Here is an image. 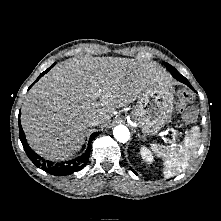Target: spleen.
Here are the masks:
<instances>
[{"mask_svg":"<svg viewBox=\"0 0 221 221\" xmlns=\"http://www.w3.org/2000/svg\"><path fill=\"white\" fill-rule=\"evenodd\" d=\"M199 135V127L195 126L180 146L170 147L151 144V149L157 157L164 161L163 174L165 177H173L189 166V162L195 158L200 146Z\"/></svg>","mask_w":221,"mask_h":221,"instance_id":"spleen-1","label":"spleen"}]
</instances>
